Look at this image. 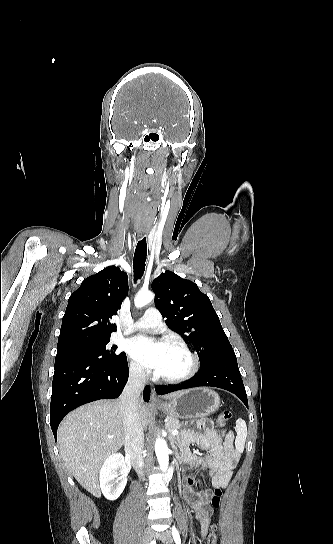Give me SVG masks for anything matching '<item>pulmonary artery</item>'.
Instances as JSON below:
<instances>
[{
  "label": "pulmonary artery",
  "mask_w": 333,
  "mask_h": 544,
  "mask_svg": "<svg viewBox=\"0 0 333 544\" xmlns=\"http://www.w3.org/2000/svg\"><path fill=\"white\" fill-rule=\"evenodd\" d=\"M161 316L156 308H148L144 315L134 322L131 326V330L157 328L161 326Z\"/></svg>",
  "instance_id": "pulmonary-artery-1"
}]
</instances>
